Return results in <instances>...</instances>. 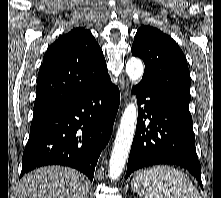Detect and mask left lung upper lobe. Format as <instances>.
<instances>
[{
    "label": "left lung upper lobe",
    "instance_id": "1",
    "mask_svg": "<svg viewBox=\"0 0 221 198\" xmlns=\"http://www.w3.org/2000/svg\"><path fill=\"white\" fill-rule=\"evenodd\" d=\"M132 54L143 59L145 64L141 83L152 86L173 106L191 116V79L178 44L154 27L141 26L134 38Z\"/></svg>",
    "mask_w": 221,
    "mask_h": 198
}]
</instances>
